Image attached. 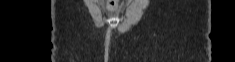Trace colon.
<instances>
[{
	"label": "colon",
	"instance_id": "obj_1",
	"mask_svg": "<svg viewBox=\"0 0 235 62\" xmlns=\"http://www.w3.org/2000/svg\"><path fill=\"white\" fill-rule=\"evenodd\" d=\"M108 6L111 10H114L117 6V1L116 0H109L108 1Z\"/></svg>",
	"mask_w": 235,
	"mask_h": 62
}]
</instances>
